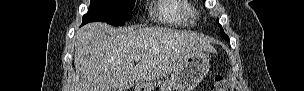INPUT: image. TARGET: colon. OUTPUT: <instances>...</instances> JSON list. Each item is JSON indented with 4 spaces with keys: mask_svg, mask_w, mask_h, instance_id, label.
<instances>
[{
    "mask_svg": "<svg viewBox=\"0 0 304 91\" xmlns=\"http://www.w3.org/2000/svg\"><path fill=\"white\" fill-rule=\"evenodd\" d=\"M213 91H231L232 87L227 79L221 75L214 77V84L211 88Z\"/></svg>",
    "mask_w": 304,
    "mask_h": 91,
    "instance_id": "5ec220e1",
    "label": "colon"
}]
</instances>
